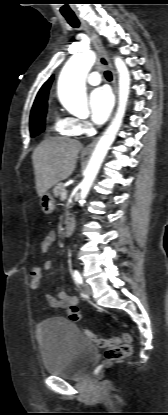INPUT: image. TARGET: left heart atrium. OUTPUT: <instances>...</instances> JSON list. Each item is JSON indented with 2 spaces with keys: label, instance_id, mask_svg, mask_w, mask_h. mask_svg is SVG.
Segmentation results:
<instances>
[{
  "label": "left heart atrium",
  "instance_id": "1",
  "mask_svg": "<svg viewBox=\"0 0 168 415\" xmlns=\"http://www.w3.org/2000/svg\"><path fill=\"white\" fill-rule=\"evenodd\" d=\"M91 119L96 124H103L113 107V97L105 87L95 89L89 98Z\"/></svg>",
  "mask_w": 168,
  "mask_h": 415
}]
</instances>
